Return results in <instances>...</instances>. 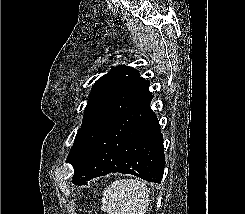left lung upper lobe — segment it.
I'll use <instances>...</instances> for the list:
<instances>
[{"label": "left lung upper lobe", "mask_w": 245, "mask_h": 214, "mask_svg": "<svg viewBox=\"0 0 245 214\" xmlns=\"http://www.w3.org/2000/svg\"><path fill=\"white\" fill-rule=\"evenodd\" d=\"M150 82L128 66H118L92 87L83 123L75 137L67 163L75 165L84 150L114 121L151 95Z\"/></svg>", "instance_id": "5c2ea615"}]
</instances>
